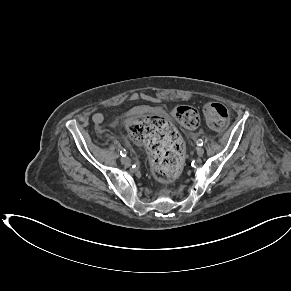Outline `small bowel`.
<instances>
[{"label": "small bowel", "mask_w": 291, "mask_h": 291, "mask_svg": "<svg viewBox=\"0 0 291 291\" xmlns=\"http://www.w3.org/2000/svg\"><path fill=\"white\" fill-rule=\"evenodd\" d=\"M92 121L96 124H100L103 121V116L100 113H95L91 117Z\"/></svg>", "instance_id": "c3829d8e"}]
</instances>
